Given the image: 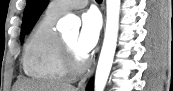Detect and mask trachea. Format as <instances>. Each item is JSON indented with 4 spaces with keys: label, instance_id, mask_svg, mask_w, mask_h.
I'll list each match as a JSON object with an SVG mask.
<instances>
[{
    "label": "trachea",
    "instance_id": "1",
    "mask_svg": "<svg viewBox=\"0 0 173 91\" xmlns=\"http://www.w3.org/2000/svg\"><path fill=\"white\" fill-rule=\"evenodd\" d=\"M98 3H101L102 2V0H96Z\"/></svg>",
    "mask_w": 173,
    "mask_h": 91
}]
</instances>
